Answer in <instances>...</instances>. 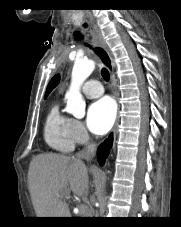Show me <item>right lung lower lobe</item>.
Segmentation results:
<instances>
[{
    "instance_id": "1",
    "label": "right lung lower lobe",
    "mask_w": 181,
    "mask_h": 227,
    "mask_svg": "<svg viewBox=\"0 0 181 227\" xmlns=\"http://www.w3.org/2000/svg\"><path fill=\"white\" fill-rule=\"evenodd\" d=\"M112 141H113V138H112V135H110L108 139H106L98 148L97 157H98V162L101 165L104 164L105 159L109 154V150L112 146Z\"/></svg>"
}]
</instances>
